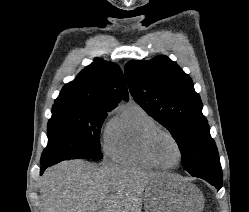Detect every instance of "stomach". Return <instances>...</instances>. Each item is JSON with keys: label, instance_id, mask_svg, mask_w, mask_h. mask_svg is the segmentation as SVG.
Here are the masks:
<instances>
[{"label": "stomach", "instance_id": "stomach-1", "mask_svg": "<svg viewBox=\"0 0 249 212\" xmlns=\"http://www.w3.org/2000/svg\"><path fill=\"white\" fill-rule=\"evenodd\" d=\"M146 212H202L204 196L180 175H154L144 200Z\"/></svg>", "mask_w": 249, "mask_h": 212}]
</instances>
